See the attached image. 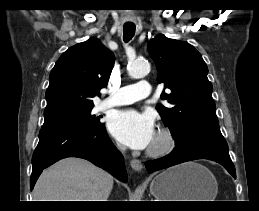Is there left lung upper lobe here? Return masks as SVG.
<instances>
[{"label":"left lung upper lobe","mask_w":259,"mask_h":211,"mask_svg":"<svg viewBox=\"0 0 259 211\" xmlns=\"http://www.w3.org/2000/svg\"><path fill=\"white\" fill-rule=\"evenodd\" d=\"M147 47L157 66L158 83L170 89V93L162 92L161 99L171 106L158 104L156 108L176 144L199 132L222 135L212 98L213 87L201 54L189 43L162 34L150 40Z\"/></svg>","instance_id":"obj_1"}]
</instances>
